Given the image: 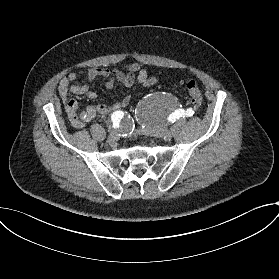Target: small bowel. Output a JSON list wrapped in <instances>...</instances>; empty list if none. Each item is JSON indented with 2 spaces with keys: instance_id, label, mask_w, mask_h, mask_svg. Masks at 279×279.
Masks as SVG:
<instances>
[{
  "instance_id": "obj_1",
  "label": "small bowel",
  "mask_w": 279,
  "mask_h": 279,
  "mask_svg": "<svg viewBox=\"0 0 279 279\" xmlns=\"http://www.w3.org/2000/svg\"><path fill=\"white\" fill-rule=\"evenodd\" d=\"M102 77L106 80L105 87L113 89L117 83L126 87L132 86L136 79L144 86H150L155 83V79L150 77L147 70L138 63H131L123 70L107 68H90L87 71V78L93 81ZM79 79L77 73L72 72L60 80L58 84V94L62 99L65 111L71 124L75 128H83L88 122L92 121L98 115H106L112 111L126 108L131 103V96L125 95L121 100L114 101L110 104H91L85 110H80L77 101L71 98L72 94L96 99L97 93L92 91L87 84H76Z\"/></svg>"
}]
</instances>
